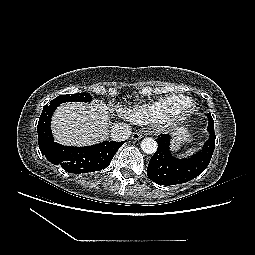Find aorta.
Instances as JSON below:
<instances>
[{
	"label": "aorta",
	"mask_w": 255,
	"mask_h": 255,
	"mask_svg": "<svg viewBox=\"0 0 255 255\" xmlns=\"http://www.w3.org/2000/svg\"><path fill=\"white\" fill-rule=\"evenodd\" d=\"M140 146L143 152L146 154H154L157 151L158 147L157 142L151 137L144 138L141 141Z\"/></svg>",
	"instance_id": "1"
}]
</instances>
